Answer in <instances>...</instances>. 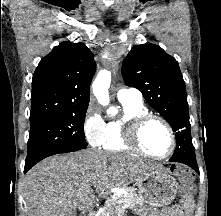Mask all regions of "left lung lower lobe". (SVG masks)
I'll list each match as a JSON object with an SVG mask.
<instances>
[{"label": "left lung lower lobe", "mask_w": 221, "mask_h": 216, "mask_svg": "<svg viewBox=\"0 0 221 216\" xmlns=\"http://www.w3.org/2000/svg\"><path fill=\"white\" fill-rule=\"evenodd\" d=\"M170 161L186 164L199 173V168L197 166L195 157V150L189 148L188 146L176 145L175 152L170 158Z\"/></svg>", "instance_id": "0a47b994"}]
</instances>
